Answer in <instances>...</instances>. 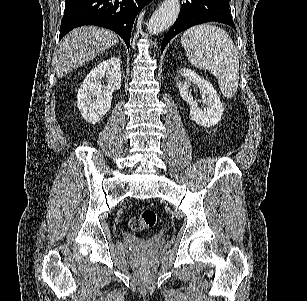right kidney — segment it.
<instances>
[{
	"label": "right kidney",
	"mask_w": 307,
	"mask_h": 301,
	"mask_svg": "<svg viewBox=\"0 0 307 301\" xmlns=\"http://www.w3.org/2000/svg\"><path fill=\"white\" fill-rule=\"evenodd\" d=\"M104 78L107 84H104ZM122 86L121 60L111 56L94 66L78 88L77 106L90 124H97L111 108L112 92Z\"/></svg>",
	"instance_id": "obj_1"
}]
</instances>
